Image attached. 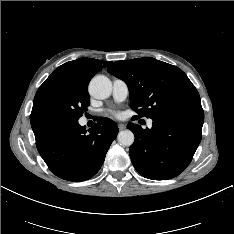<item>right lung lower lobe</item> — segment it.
<instances>
[{"instance_id":"1","label":"right lung lower lobe","mask_w":234,"mask_h":234,"mask_svg":"<svg viewBox=\"0 0 234 234\" xmlns=\"http://www.w3.org/2000/svg\"><path fill=\"white\" fill-rule=\"evenodd\" d=\"M30 120L38 152L48 168L59 178L74 182L90 179L99 171L118 134L117 125L104 117L88 131L68 117Z\"/></svg>"}]
</instances>
